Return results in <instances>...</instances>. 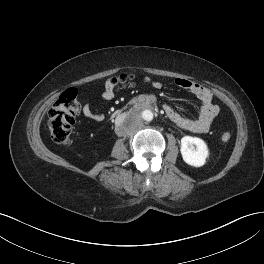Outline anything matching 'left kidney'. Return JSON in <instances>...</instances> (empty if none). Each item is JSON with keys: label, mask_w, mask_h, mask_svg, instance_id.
Wrapping results in <instances>:
<instances>
[{"label": "left kidney", "mask_w": 264, "mask_h": 264, "mask_svg": "<svg viewBox=\"0 0 264 264\" xmlns=\"http://www.w3.org/2000/svg\"><path fill=\"white\" fill-rule=\"evenodd\" d=\"M181 155L190 166L201 167L209 155L206 143L197 137L184 136L181 139Z\"/></svg>", "instance_id": "5707ae66"}]
</instances>
